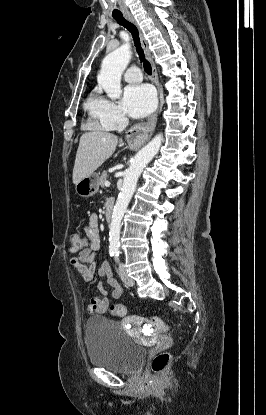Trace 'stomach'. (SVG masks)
<instances>
[{"instance_id": "0dacf381", "label": "stomach", "mask_w": 266, "mask_h": 415, "mask_svg": "<svg viewBox=\"0 0 266 415\" xmlns=\"http://www.w3.org/2000/svg\"><path fill=\"white\" fill-rule=\"evenodd\" d=\"M131 148H134V146L131 145ZM98 189L99 176L97 173H92L91 175L83 178L75 186L76 193L83 198H89L93 196L98 191Z\"/></svg>"}]
</instances>
